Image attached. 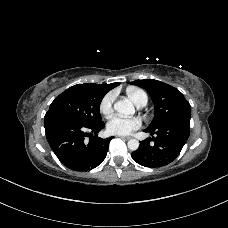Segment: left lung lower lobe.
<instances>
[{"label": "left lung lower lobe", "mask_w": 228, "mask_h": 228, "mask_svg": "<svg viewBox=\"0 0 228 228\" xmlns=\"http://www.w3.org/2000/svg\"><path fill=\"white\" fill-rule=\"evenodd\" d=\"M145 132H150L152 138L142 141L131 156L142 166L162 167L173 162L180 154L189 137L190 118L183 117L164 124L156 130L146 129Z\"/></svg>", "instance_id": "0a47b994"}]
</instances>
